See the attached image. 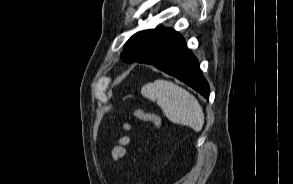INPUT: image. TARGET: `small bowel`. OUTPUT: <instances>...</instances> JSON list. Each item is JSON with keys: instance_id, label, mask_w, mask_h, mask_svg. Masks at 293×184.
<instances>
[{"instance_id": "obj_1", "label": "small bowel", "mask_w": 293, "mask_h": 184, "mask_svg": "<svg viewBox=\"0 0 293 184\" xmlns=\"http://www.w3.org/2000/svg\"><path fill=\"white\" fill-rule=\"evenodd\" d=\"M125 129L129 131L130 125L126 124ZM129 141L130 139L127 136L122 137L120 139L119 144L112 151V156L114 159H119L125 155V152H126L125 148L128 145Z\"/></svg>"}]
</instances>
